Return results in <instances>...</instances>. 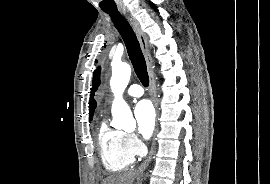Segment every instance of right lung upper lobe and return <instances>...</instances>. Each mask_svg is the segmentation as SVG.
Returning a JSON list of instances; mask_svg holds the SVG:
<instances>
[{"mask_svg":"<svg viewBox=\"0 0 270 184\" xmlns=\"http://www.w3.org/2000/svg\"><path fill=\"white\" fill-rule=\"evenodd\" d=\"M100 84V67L94 71L93 75V86L91 90V97H90V103H89V110H90V120L93 117L94 110L96 108V101L93 99L94 93L97 90L98 86Z\"/></svg>","mask_w":270,"mask_h":184,"instance_id":"1","label":"right lung upper lobe"}]
</instances>
